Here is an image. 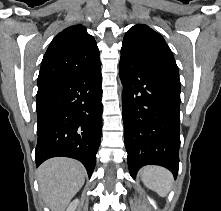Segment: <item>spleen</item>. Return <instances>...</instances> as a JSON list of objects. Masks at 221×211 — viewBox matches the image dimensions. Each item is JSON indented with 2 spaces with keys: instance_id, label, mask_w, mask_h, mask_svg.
I'll use <instances>...</instances> for the list:
<instances>
[{
  "instance_id": "1",
  "label": "spleen",
  "mask_w": 221,
  "mask_h": 211,
  "mask_svg": "<svg viewBox=\"0 0 221 211\" xmlns=\"http://www.w3.org/2000/svg\"><path fill=\"white\" fill-rule=\"evenodd\" d=\"M145 186L165 197L173 183L172 174L165 168L159 166H146L140 172Z\"/></svg>"
}]
</instances>
